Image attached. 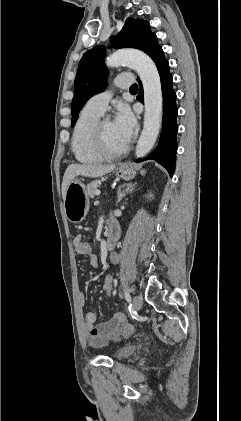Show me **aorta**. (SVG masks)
Masks as SVG:
<instances>
[{
	"label": "aorta",
	"mask_w": 241,
	"mask_h": 421,
	"mask_svg": "<svg viewBox=\"0 0 241 421\" xmlns=\"http://www.w3.org/2000/svg\"><path fill=\"white\" fill-rule=\"evenodd\" d=\"M108 67L127 65L133 68L141 78L144 89V126L138 140L135 155L144 157L153 148L158 137L162 121V89L158 70L152 59L136 49L115 51L106 59Z\"/></svg>",
	"instance_id": "obj_1"
}]
</instances>
